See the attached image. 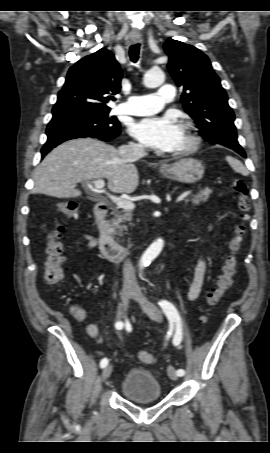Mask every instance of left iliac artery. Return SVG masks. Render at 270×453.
<instances>
[{"label": "left iliac artery", "mask_w": 270, "mask_h": 453, "mask_svg": "<svg viewBox=\"0 0 270 453\" xmlns=\"http://www.w3.org/2000/svg\"><path fill=\"white\" fill-rule=\"evenodd\" d=\"M159 305L167 316L168 320L171 323H176V333L173 338V344L177 346L182 340V325L180 315L175 306L167 300H161L159 302ZM176 373L178 376H183L185 372L183 369H178Z\"/></svg>", "instance_id": "1"}]
</instances>
